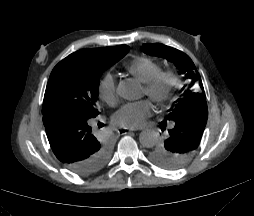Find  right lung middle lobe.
I'll use <instances>...</instances> for the list:
<instances>
[{"label": "right lung middle lobe", "mask_w": 254, "mask_h": 216, "mask_svg": "<svg viewBox=\"0 0 254 216\" xmlns=\"http://www.w3.org/2000/svg\"><path fill=\"white\" fill-rule=\"evenodd\" d=\"M120 60L99 51L79 50L59 62L52 70L46 87L42 114L67 112L93 119L96 109L99 77L104 70ZM110 156L109 146H103L98 160L88 169L89 176L96 173Z\"/></svg>", "instance_id": "obj_1"}]
</instances>
